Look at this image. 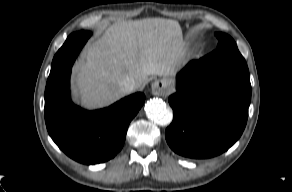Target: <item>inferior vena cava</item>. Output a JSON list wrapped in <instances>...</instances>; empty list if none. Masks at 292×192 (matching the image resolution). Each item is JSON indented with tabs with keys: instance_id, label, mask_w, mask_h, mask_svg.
<instances>
[{
	"instance_id": "1",
	"label": "inferior vena cava",
	"mask_w": 292,
	"mask_h": 192,
	"mask_svg": "<svg viewBox=\"0 0 292 192\" xmlns=\"http://www.w3.org/2000/svg\"><path fill=\"white\" fill-rule=\"evenodd\" d=\"M121 87L125 93H130L135 90L136 84L133 78L126 77L121 81Z\"/></svg>"
}]
</instances>
